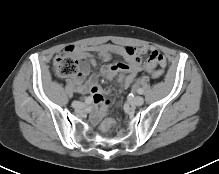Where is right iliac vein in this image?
Segmentation results:
<instances>
[{"label":"right iliac vein","mask_w":219,"mask_h":174,"mask_svg":"<svg viewBox=\"0 0 219 174\" xmlns=\"http://www.w3.org/2000/svg\"><path fill=\"white\" fill-rule=\"evenodd\" d=\"M75 109H83L85 105L82 102L74 101L72 105Z\"/></svg>","instance_id":"1"}]
</instances>
